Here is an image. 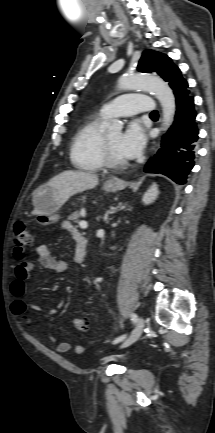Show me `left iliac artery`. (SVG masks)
Segmentation results:
<instances>
[{"label": "left iliac artery", "instance_id": "obj_1", "mask_svg": "<svg viewBox=\"0 0 215 433\" xmlns=\"http://www.w3.org/2000/svg\"><path fill=\"white\" fill-rule=\"evenodd\" d=\"M131 320H132L134 323L137 322L138 317H137V315H136L135 313H132V314H131ZM124 338H125V335L120 336V337L116 338V339L113 341V343H114V344H115V343H118V342L122 341Z\"/></svg>", "mask_w": 215, "mask_h": 433}]
</instances>
